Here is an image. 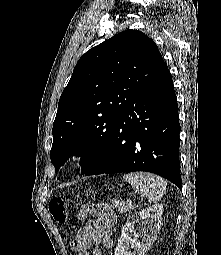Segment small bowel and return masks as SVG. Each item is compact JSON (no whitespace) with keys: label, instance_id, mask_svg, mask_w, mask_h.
Masks as SVG:
<instances>
[{"label":"small bowel","instance_id":"small-bowel-1","mask_svg":"<svg viewBox=\"0 0 221 255\" xmlns=\"http://www.w3.org/2000/svg\"><path fill=\"white\" fill-rule=\"evenodd\" d=\"M91 214L94 220L88 221L77 232L71 246L76 255H102L101 247L112 250V228L116 222L114 212L103 204L93 205Z\"/></svg>","mask_w":221,"mask_h":255}]
</instances>
